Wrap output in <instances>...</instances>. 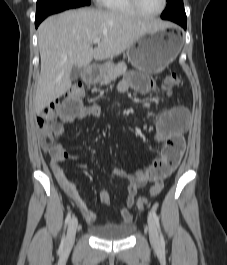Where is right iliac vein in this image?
Returning <instances> with one entry per match:
<instances>
[{
	"mask_svg": "<svg viewBox=\"0 0 227 265\" xmlns=\"http://www.w3.org/2000/svg\"><path fill=\"white\" fill-rule=\"evenodd\" d=\"M77 226H78L77 218L72 217V219L69 222L66 240H65V247L66 248H69L74 243L75 235H76V231H77Z\"/></svg>",
	"mask_w": 227,
	"mask_h": 265,
	"instance_id": "right-iliac-vein-1",
	"label": "right iliac vein"
}]
</instances>
